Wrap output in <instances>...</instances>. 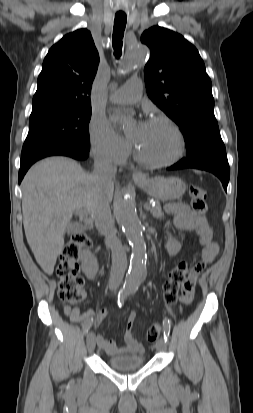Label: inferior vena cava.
Returning a JSON list of instances; mask_svg holds the SVG:
<instances>
[{"mask_svg": "<svg viewBox=\"0 0 253 413\" xmlns=\"http://www.w3.org/2000/svg\"><path fill=\"white\" fill-rule=\"evenodd\" d=\"M94 178L101 188L112 183L117 172L111 158L105 155H96L94 158ZM94 221L98 231L105 236V244L112 251V267L109 288L116 290L124 277L127 267V257L124 247L114 232V219L111 215L109 203L103 199L94 214Z\"/></svg>", "mask_w": 253, "mask_h": 413, "instance_id": "602c4592", "label": "inferior vena cava"}]
</instances>
